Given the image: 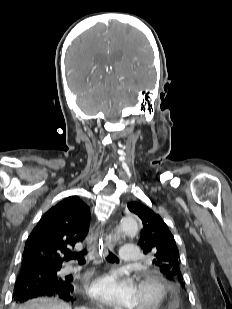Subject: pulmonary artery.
<instances>
[{"label": "pulmonary artery", "mask_w": 232, "mask_h": 309, "mask_svg": "<svg viewBox=\"0 0 232 309\" xmlns=\"http://www.w3.org/2000/svg\"><path fill=\"white\" fill-rule=\"evenodd\" d=\"M119 257H120L121 261L125 262V263L137 262L138 259H139L138 249L135 245L123 246L120 249ZM78 270H80V268L67 265L62 269V272L64 274H67V273L76 272Z\"/></svg>", "instance_id": "obj_1"}]
</instances>
